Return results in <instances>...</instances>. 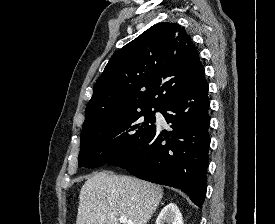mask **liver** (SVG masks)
Masks as SVG:
<instances>
[{"mask_svg": "<svg viewBox=\"0 0 275 224\" xmlns=\"http://www.w3.org/2000/svg\"><path fill=\"white\" fill-rule=\"evenodd\" d=\"M163 196V189L140 179L99 172L81 188L76 224H120L124 216L147 224Z\"/></svg>", "mask_w": 275, "mask_h": 224, "instance_id": "6515ba94", "label": "liver"}]
</instances>
